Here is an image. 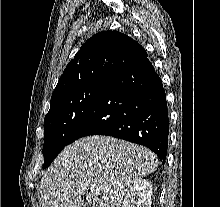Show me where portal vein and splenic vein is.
Listing matches in <instances>:
<instances>
[{
	"mask_svg": "<svg viewBox=\"0 0 220 207\" xmlns=\"http://www.w3.org/2000/svg\"><path fill=\"white\" fill-rule=\"evenodd\" d=\"M90 191H91V192H95V193H99V192H100V189L95 188V187H90Z\"/></svg>",
	"mask_w": 220,
	"mask_h": 207,
	"instance_id": "18ae733b",
	"label": "portal vein and splenic vein"
}]
</instances>
